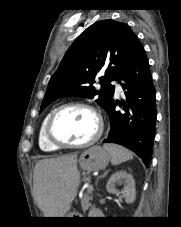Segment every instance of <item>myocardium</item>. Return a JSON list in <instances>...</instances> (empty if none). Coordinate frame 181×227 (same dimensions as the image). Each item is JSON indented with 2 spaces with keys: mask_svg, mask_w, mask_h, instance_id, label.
Returning <instances> with one entry per match:
<instances>
[{
  "mask_svg": "<svg viewBox=\"0 0 181 227\" xmlns=\"http://www.w3.org/2000/svg\"><path fill=\"white\" fill-rule=\"evenodd\" d=\"M72 107H78V108H83L85 110H88L95 118L96 125H97L96 132L89 140H87L85 142L68 143V142L58 139L54 135L53 125H54V121H55L56 117L64 109L72 108ZM103 129H104L103 119H102L101 115L98 113V111L93 106H91L87 103H84V102H80V101H72V102H68V103L58 106L51 112V114L48 118L46 127H45V134H46L47 139L54 146H56L58 148H86V147H89V146L95 144L100 139V137L102 136V133H103Z\"/></svg>",
  "mask_w": 181,
  "mask_h": 227,
  "instance_id": "f54148a6",
  "label": "myocardium"
}]
</instances>
